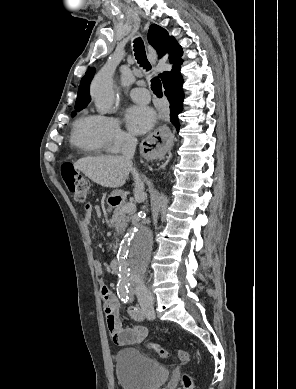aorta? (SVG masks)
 I'll use <instances>...</instances> for the list:
<instances>
[{
    "label": "aorta",
    "instance_id": "1",
    "mask_svg": "<svg viewBox=\"0 0 296 389\" xmlns=\"http://www.w3.org/2000/svg\"><path fill=\"white\" fill-rule=\"evenodd\" d=\"M91 94L95 102L107 109L113 110L116 103V94L113 88V69L102 68L91 83ZM153 235L144 224L135 225L118 250V259L122 271L119 284L127 287L130 283L140 279L145 264L152 250Z\"/></svg>",
    "mask_w": 296,
    "mask_h": 389
}]
</instances>
